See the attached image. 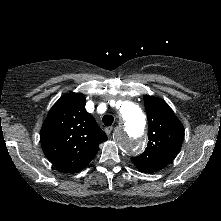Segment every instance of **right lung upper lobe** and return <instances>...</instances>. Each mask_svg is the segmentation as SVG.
<instances>
[{
	"label": "right lung upper lobe",
	"instance_id": "right-lung-upper-lobe-1",
	"mask_svg": "<svg viewBox=\"0 0 221 221\" xmlns=\"http://www.w3.org/2000/svg\"><path fill=\"white\" fill-rule=\"evenodd\" d=\"M81 93L62 96L51 108L40 132L44 154L57 168L75 173L95 157L106 134L85 109Z\"/></svg>",
	"mask_w": 221,
	"mask_h": 221
}]
</instances>
